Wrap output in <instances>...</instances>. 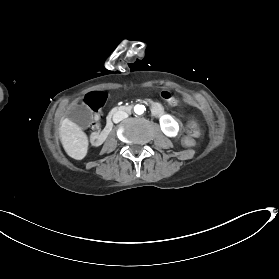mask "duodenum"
<instances>
[{"mask_svg": "<svg viewBox=\"0 0 279 279\" xmlns=\"http://www.w3.org/2000/svg\"><path fill=\"white\" fill-rule=\"evenodd\" d=\"M145 102H148L149 105H152V101H148V99H145ZM153 110H159V105L154 104L152 105ZM121 111H125L126 113H129L131 111V107L125 104H121L120 106L115 105L113 109L110 111L108 116L106 117V126L103 128L101 137H99V134L97 132H94L91 136L92 143L96 146H100L105 142V139L108 137L109 132L111 131V128L113 127V120L115 118V115Z\"/></svg>", "mask_w": 279, "mask_h": 279, "instance_id": "1", "label": "duodenum"}]
</instances>
